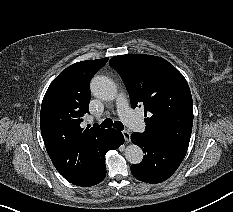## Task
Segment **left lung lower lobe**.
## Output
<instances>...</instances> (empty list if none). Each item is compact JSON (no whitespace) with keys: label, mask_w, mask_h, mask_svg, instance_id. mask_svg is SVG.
Returning <instances> with one entry per match:
<instances>
[{"label":"left lung lower lobe","mask_w":233,"mask_h":212,"mask_svg":"<svg viewBox=\"0 0 233 212\" xmlns=\"http://www.w3.org/2000/svg\"><path fill=\"white\" fill-rule=\"evenodd\" d=\"M131 140L145 153L141 163L131 166L133 176L143 182L153 184L166 180L176 171L186 154L185 150L160 144L142 133L134 132Z\"/></svg>","instance_id":"0a47b994"}]
</instances>
